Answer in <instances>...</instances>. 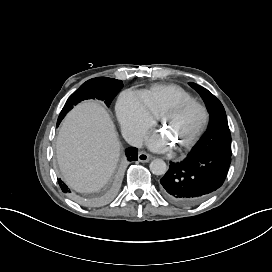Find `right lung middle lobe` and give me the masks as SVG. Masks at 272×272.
<instances>
[{
	"label": "right lung middle lobe",
	"instance_id": "right-lung-middle-lobe-1",
	"mask_svg": "<svg viewBox=\"0 0 272 272\" xmlns=\"http://www.w3.org/2000/svg\"><path fill=\"white\" fill-rule=\"evenodd\" d=\"M123 87L121 80L108 77H97L83 83L66 101L58 121H61L74 105L85 99H99L110 105L113 98Z\"/></svg>",
	"mask_w": 272,
	"mask_h": 272
}]
</instances>
